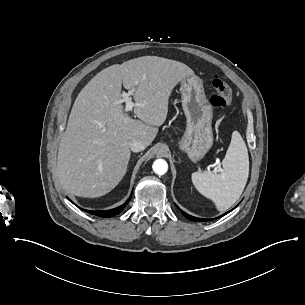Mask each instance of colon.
<instances>
[{
  "instance_id": "obj_1",
  "label": "colon",
  "mask_w": 305,
  "mask_h": 305,
  "mask_svg": "<svg viewBox=\"0 0 305 305\" xmlns=\"http://www.w3.org/2000/svg\"><path fill=\"white\" fill-rule=\"evenodd\" d=\"M211 85L214 94L210 97V103L214 108H223L229 106L233 101V95L228 83L220 74H214L211 77Z\"/></svg>"
}]
</instances>
